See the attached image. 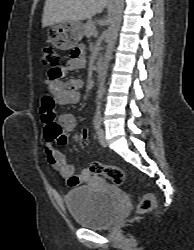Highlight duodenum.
I'll list each match as a JSON object with an SVG mask.
<instances>
[{
	"label": "duodenum",
	"mask_w": 194,
	"mask_h": 250,
	"mask_svg": "<svg viewBox=\"0 0 194 250\" xmlns=\"http://www.w3.org/2000/svg\"><path fill=\"white\" fill-rule=\"evenodd\" d=\"M103 66V58L99 57L96 63V72L100 71L102 69Z\"/></svg>",
	"instance_id": "duodenum-1"
}]
</instances>
